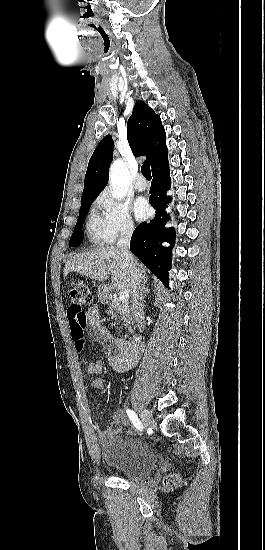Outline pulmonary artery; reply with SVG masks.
I'll list each match as a JSON object with an SVG mask.
<instances>
[{"mask_svg": "<svg viewBox=\"0 0 265 550\" xmlns=\"http://www.w3.org/2000/svg\"><path fill=\"white\" fill-rule=\"evenodd\" d=\"M134 187L138 191H144L147 188V182L145 179H143L142 176H140L134 184Z\"/></svg>", "mask_w": 265, "mask_h": 550, "instance_id": "obj_1", "label": "pulmonary artery"}]
</instances>
